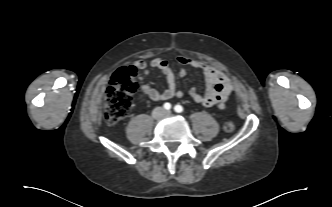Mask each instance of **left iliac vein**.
I'll return each instance as SVG.
<instances>
[{
	"instance_id": "left-iliac-vein-1",
	"label": "left iliac vein",
	"mask_w": 332,
	"mask_h": 207,
	"mask_svg": "<svg viewBox=\"0 0 332 207\" xmlns=\"http://www.w3.org/2000/svg\"><path fill=\"white\" fill-rule=\"evenodd\" d=\"M166 114H168V115H169V114H171V112H170V111H167V112H166Z\"/></svg>"
}]
</instances>
